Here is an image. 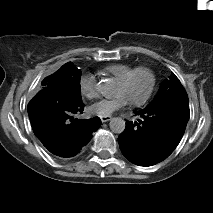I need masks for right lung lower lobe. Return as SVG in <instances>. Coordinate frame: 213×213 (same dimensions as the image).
I'll return each mask as SVG.
<instances>
[{"label": "right lung lower lobe", "mask_w": 213, "mask_h": 213, "mask_svg": "<svg viewBox=\"0 0 213 213\" xmlns=\"http://www.w3.org/2000/svg\"><path fill=\"white\" fill-rule=\"evenodd\" d=\"M83 108L81 98L58 87L41 90L27 106L35 135L51 153L61 157L77 154L101 125L99 117H73L82 113Z\"/></svg>", "instance_id": "right-lung-lower-lobe-1"}]
</instances>
